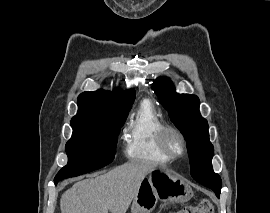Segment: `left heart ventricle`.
I'll use <instances>...</instances> for the list:
<instances>
[{
    "label": "left heart ventricle",
    "mask_w": 270,
    "mask_h": 213,
    "mask_svg": "<svg viewBox=\"0 0 270 213\" xmlns=\"http://www.w3.org/2000/svg\"><path fill=\"white\" fill-rule=\"evenodd\" d=\"M169 145H170V148L173 151H179L180 150V142L175 136H170Z\"/></svg>",
    "instance_id": "left-heart-ventricle-1"
}]
</instances>
